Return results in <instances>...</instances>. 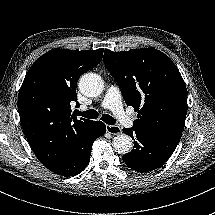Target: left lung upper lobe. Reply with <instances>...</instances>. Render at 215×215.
<instances>
[{"mask_svg":"<svg viewBox=\"0 0 215 215\" xmlns=\"http://www.w3.org/2000/svg\"><path fill=\"white\" fill-rule=\"evenodd\" d=\"M104 63L123 98L139 114L133 129L182 134L187 113V89L176 67L154 48L104 51Z\"/></svg>","mask_w":215,"mask_h":215,"instance_id":"obj_1","label":"left lung upper lobe"}]
</instances>
